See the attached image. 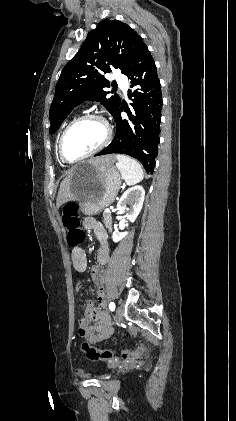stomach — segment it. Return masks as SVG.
<instances>
[{
    "label": "stomach",
    "mask_w": 236,
    "mask_h": 421,
    "mask_svg": "<svg viewBox=\"0 0 236 421\" xmlns=\"http://www.w3.org/2000/svg\"><path fill=\"white\" fill-rule=\"evenodd\" d=\"M121 182L120 172L113 164L98 166L91 160H82L73 168L74 200H80L83 215H98L114 202Z\"/></svg>",
    "instance_id": "0dacf381"
}]
</instances>
